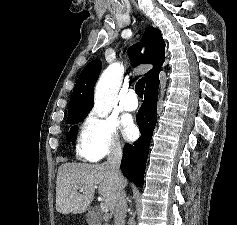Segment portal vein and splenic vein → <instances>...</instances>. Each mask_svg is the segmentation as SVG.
Masks as SVG:
<instances>
[{"label":"portal vein and splenic vein","instance_id":"18ae733b","mask_svg":"<svg viewBox=\"0 0 237 225\" xmlns=\"http://www.w3.org/2000/svg\"><path fill=\"white\" fill-rule=\"evenodd\" d=\"M100 208H101V210L103 211V212H108V206L105 204V203H101L100 204Z\"/></svg>","mask_w":237,"mask_h":225}]
</instances>
